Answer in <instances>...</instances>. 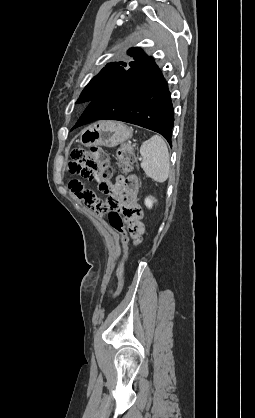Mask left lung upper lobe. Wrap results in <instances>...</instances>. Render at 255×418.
I'll return each mask as SVG.
<instances>
[{
	"label": "left lung upper lobe",
	"instance_id": "obj_1",
	"mask_svg": "<svg viewBox=\"0 0 255 418\" xmlns=\"http://www.w3.org/2000/svg\"><path fill=\"white\" fill-rule=\"evenodd\" d=\"M128 55L133 57L134 60L130 62L108 63L96 76L91 79L82 91L76 103L91 102L106 88L119 79L129 68L135 66L148 57L141 49L138 48L129 49Z\"/></svg>",
	"mask_w": 255,
	"mask_h": 418
}]
</instances>
